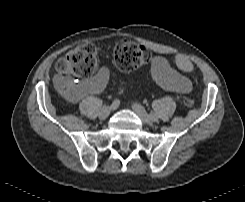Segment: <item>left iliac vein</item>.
Masks as SVG:
<instances>
[{"mask_svg": "<svg viewBox=\"0 0 245 202\" xmlns=\"http://www.w3.org/2000/svg\"><path fill=\"white\" fill-rule=\"evenodd\" d=\"M134 112L139 116L141 121L145 124H150L153 120L145 111V109L138 103H134L132 106Z\"/></svg>", "mask_w": 245, "mask_h": 202, "instance_id": "4c4485c4", "label": "left iliac vein"}]
</instances>
